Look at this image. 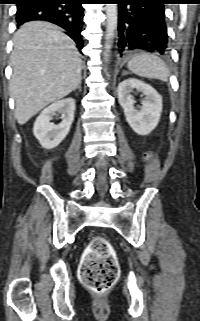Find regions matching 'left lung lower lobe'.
Masks as SVG:
<instances>
[{
    "label": "left lung lower lobe",
    "mask_w": 200,
    "mask_h": 321,
    "mask_svg": "<svg viewBox=\"0 0 200 321\" xmlns=\"http://www.w3.org/2000/svg\"><path fill=\"white\" fill-rule=\"evenodd\" d=\"M118 4V52L167 51L164 5L168 0H114Z\"/></svg>",
    "instance_id": "0a47b994"
}]
</instances>
